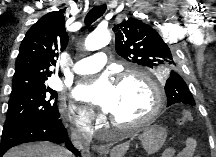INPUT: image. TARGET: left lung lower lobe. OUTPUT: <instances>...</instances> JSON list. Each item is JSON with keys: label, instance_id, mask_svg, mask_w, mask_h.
Returning <instances> with one entry per match:
<instances>
[{"label": "left lung lower lobe", "instance_id": "0a47b994", "mask_svg": "<svg viewBox=\"0 0 216 157\" xmlns=\"http://www.w3.org/2000/svg\"><path fill=\"white\" fill-rule=\"evenodd\" d=\"M171 102H172V101H170V103H171ZM170 103H169V104H167V106L173 105V104H170ZM175 104H176V103H175Z\"/></svg>", "mask_w": 216, "mask_h": 157}]
</instances>
